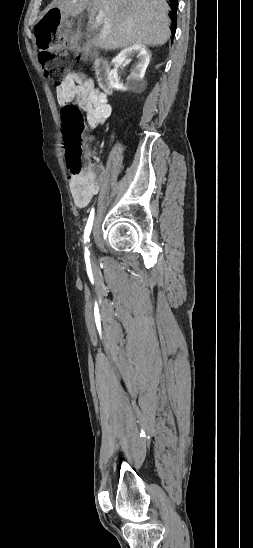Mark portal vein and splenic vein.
<instances>
[{
  "mask_svg": "<svg viewBox=\"0 0 253 548\" xmlns=\"http://www.w3.org/2000/svg\"><path fill=\"white\" fill-rule=\"evenodd\" d=\"M102 19V16H97V20L100 21Z\"/></svg>",
  "mask_w": 253,
  "mask_h": 548,
  "instance_id": "portal-vein-and-splenic-vein-1",
  "label": "portal vein and splenic vein"
}]
</instances>
